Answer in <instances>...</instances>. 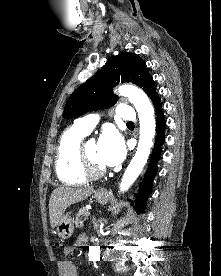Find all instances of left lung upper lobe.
Instances as JSON below:
<instances>
[{
    "label": "left lung upper lobe",
    "mask_w": 221,
    "mask_h": 276,
    "mask_svg": "<svg viewBox=\"0 0 221 276\" xmlns=\"http://www.w3.org/2000/svg\"><path fill=\"white\" fill-rule=\"evenodd\" d=\"M132 82L141 87L152 99L156 86L146 69V63L134 53L112 56L88 81L78 87L66 102L63 116L78 117L88 111L109 108L118 97L112 93L119 82Z\"/></svg>",
    "instance_id": "left-lung-upper-lobe-1"
}]
</instances>
